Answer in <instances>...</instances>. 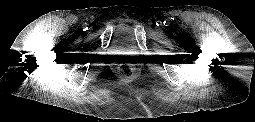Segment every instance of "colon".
I'll list each match as a JSON object with an SVG mask.
<instances>
[{
  "label": "colon",
  "mask_w": 255,
  "mask_h": 122,
  "mask_svg": "<svg viewBox=\"0 0 255 122\" xmlns=\"http://www.w3.org/2000/svg\"><path fill=\"white\" fill-rule=\"evenodd\" d=\"M119 73L123 76H130L133 73V68L129 64H122L119 67Z\"/></svg>",
  "instance_id": "1"
}]
</instances>
